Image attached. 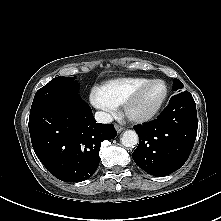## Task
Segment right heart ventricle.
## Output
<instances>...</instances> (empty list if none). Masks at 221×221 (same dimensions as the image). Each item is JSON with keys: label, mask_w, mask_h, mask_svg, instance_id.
<instances>
[{"label": "right heart ventricle", "mask_w": 221, "mask_h": 221, "mask_svg": "<svg viewBox=\"0 0 221 221\" xmlns=\"http://www.w3.org/2000/svg\"><path fill=\"white\" fill-rule=\"evenodd\" d=\"M147 81L149 79L140 77L117 78L106 81L99 88L112 103L121 106L138 87Z\"/></svg>", "instance_id": "1"}]
</instances>
